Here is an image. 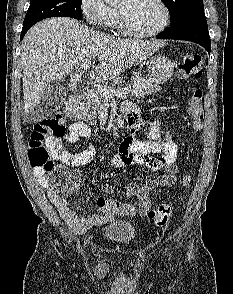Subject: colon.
<instances>
[{"label":"colon","instance_id":"1","mask_svg":"<svg viewBox=\"0 0 233 294\" xmlns=\"http://www.w3.org/2000/svg\"><path fill=\"white\" fill-rule=\"evenodd\" d=\"M203 75L202 58L195 52L187 53L179 67V76L182 78L200 79ZM188 112L195 129H200L204 118L203 91L195 88L190 95ZM65 121L61 113H55L41 120L33 126L28 141V157L32 167L40 168L50 176L52 185L63 194H72L79 188L78 177L57 163L60 158L55 154L54 140L65 133ZM61 161V160H60ZM62 162V161H61ZM190 177L182 180L184 186H188ZM122 212L133 215L135 208L131 204H123ZM147 216L156 225L165 226L172 217V208L168 204H161L157 208L147 212Z\"/></svg>","mask_w":233,"mask_h":294}]
</instances>
